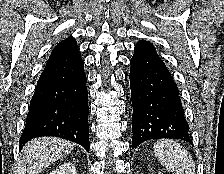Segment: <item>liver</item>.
Wrapping results in <instances>:
<instances>
[{
    "label": "liver",
    "instance_id": "obj_1",
    "mask_svg": "<svg viewBox=\"0 0 224 174\" xmlns=\"http://www.w3.org/2000/svg\"><path fill=\"white\" fill-rule=\"evenodd\" d=\"M74 145L56 137H39L22 148L17 174H38L57 159L69 154Z\"/></svg>",
    "mask_w": 224,
    "mask_h": 174
}]
</instances>
